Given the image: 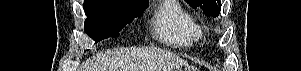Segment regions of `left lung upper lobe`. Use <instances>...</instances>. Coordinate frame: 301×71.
<instances>
[{"instance_id":"5c2ea615","label":"left lung upper lobe","mask_w":301,"mask_h":71,"mask_svg":"<svg viewBox=\"0 0 301 71\" xmlns=\"http://www.w3.org/2000/svg\"><path fill=\"white\" fill-rule=\"evenodd\" d=\"M186 2L192 7H201L203 13L207 16H218L220 12L221 2L220 0H186Z\"/></svg>"}]
</instances>
